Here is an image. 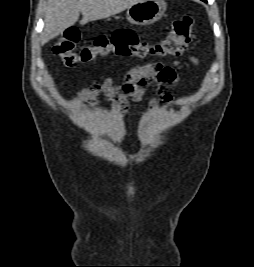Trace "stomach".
Here are the masks:
<instances>
[{"instance_id": "stomach-1", "label": "stomach", "mask_w": 254, "mask_h": 267, "mask_svg": "<svg viewBox=\"0 0 254 267\" xmlns=\"http://www.w3.org/2000/svg\"><path fill=\"white\" fill-rule=\"evenodd\" d=\"M164 0H142L127 9L126 19L137 26H147L160 20L166 11Z\"/></svg>"}]
</instances>
